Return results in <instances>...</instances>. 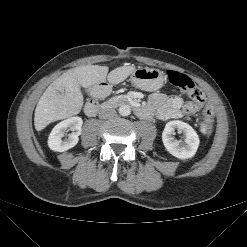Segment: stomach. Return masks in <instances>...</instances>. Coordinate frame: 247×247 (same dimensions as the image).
I'll use <instances>...</instances> for the list:
<instances>
[{
	"instance_id": "0dacf381",
	"label": "stomach",
	"mask_w": 247,
	"mask_h": 247,
	"mask_svg": "<svg viewBox=\"0 0 247 247\" xmlns=\"http://www.w3.org/2000/svg\"><path fill=\"white\" fill-rule=\"evenodd\" d=\"M134 86L147 90H157L163 86L164 73L158 69L149 67H139L130 76Z\"/></svg>"
}]
</instances>
